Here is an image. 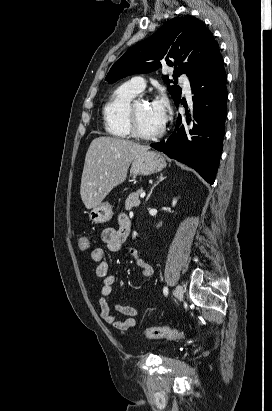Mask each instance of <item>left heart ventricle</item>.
I'll return each mask as SVG.
<instances>
[{
  "label": "left heart ventricle",
  "mask_w": 272,
  "mask_h": 411,
  "mask_svg": "<svg viewBox=\"0 0 272 411\" xmlns=\"http://www.w3.org/2000/svg\"><path fill=\"white\" fill-rule=\"evenodd\" d=\"M136 119L139 129L147 134L154 133L161 128V124L154 118L150 104L146 101H139L136 104Z\"/></svg>",
  "instance_id": "b2bd125f"
}]
</instances>
